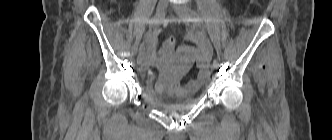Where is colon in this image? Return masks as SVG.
I'll list each match as a JSON object with an SVG mask.
<instances>
[{
  "label": "colon",
  "mask_w": 332,
  "mask_h": 140,
  "mask_svg": "<svg viewBox=\"0 0 332 140\" xmlns=\"http://www.w3.org/2000/svg\"><path fill=\"white\" fill-rule=\"evenodd\" d=\"M175 45H176V40H175V38H173V37L168 38V39L164 42V44H163V46H162V48H161V50H160V53H161V54H168V53H171V52L174 50Z\"/></svg>",
  "instance_id": "1"
}]
</instances>
